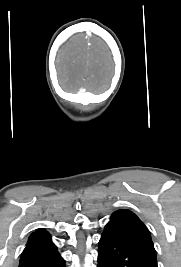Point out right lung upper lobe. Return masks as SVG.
<instances>
[{"label": "right lung upper lobe", "instance_id": "cb5924a9", "mask_svg": "<svg viewBox=\"0 0 181 267\" xmlns=\"http://www.w3.org/2000/svg\"><path fill=\"white\" fill-rule=\"evenodd\" d=\"M30 247L56 248V246L50 240L49 233L43 229L37 230L29 237L26 248Z\"/></svg>", "mask_w": 181, "mask_h": 267}]
</instances>
